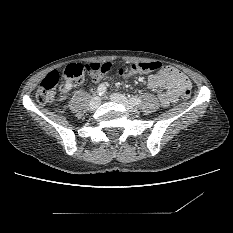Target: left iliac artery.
Returning <instances> with one entry per match:
<instances>
[{"label":"left iliac artery","instance_id":"left-iliac-artery-1","mask_svg":"<svg viewBox=\"0 0 233 233\" xmlns=\"http://www.w3.org/2000/svg\"><path fill=\"white\" fill-rule=\"evenodd\" d=\"M130 103L134 104V105H138L141 103V99L140 98H131Z\"/></svg>","mask_w":233,"mask_h":233}]
</instances>
